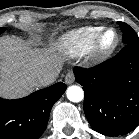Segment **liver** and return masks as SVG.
Wrapping results in <instances>:
<instances>
[{
  "mask_svg": "<svg viewBox=\"0 0 139 139\" xmlns=\"http://www.w3.org/2000/svg\"><path fill=\"white\" fill-rule=\"evenodd\" d=\"M63 60L55 49H32L16 37L0 38V97L20 98L32 93L36 78L60 70Z\"/></svg>",
  "mask_w": 139,
  "mask_h": 139,
  "instance_id": "obj_1",
  "label": "liver"
}]
</instances>
